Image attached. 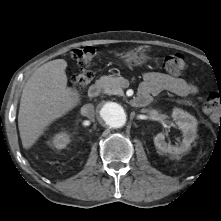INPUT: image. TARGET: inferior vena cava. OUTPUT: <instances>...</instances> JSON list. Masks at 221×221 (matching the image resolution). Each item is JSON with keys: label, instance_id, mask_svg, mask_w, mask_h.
<instances>
[{"label": "inferior vena cava", "instance_id": "inferior-vena-cava-1", "mask_svg": "<svg viewBox=\"0 0 221 221\" xmlns=\"http://www.w3.org/2000/svg\"><path fill=\"white\" fill-rule=\"evenodd\" d=\"M82 111H83V114L90 119H93L95 116V110H94V106L92 104L84 105Z\"/></svg>", "mask_w": 221, "mask_h": 221}]
</instances>
